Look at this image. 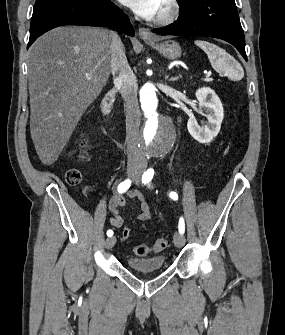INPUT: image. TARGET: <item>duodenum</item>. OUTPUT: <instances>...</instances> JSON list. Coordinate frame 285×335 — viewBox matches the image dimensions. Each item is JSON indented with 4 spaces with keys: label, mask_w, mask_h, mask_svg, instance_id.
<instances>
[{
    "label": "duodenum",
    "mask_w": 285,
    "mask_h": 335,
    "mask_svg": "<svg viewBox=\"0 0 285 335\" xmlns=\"http://www.w3.org/2000/svg\"><path fill=\"white\" fill-rule=\"evenodd\" d=\"M115 96V89L110 90L103 98L100 105V112L103 119L107 122L110 119V110Z\"/></svg>",
    "instance_id": "410a0bca"
}]
</instances>
